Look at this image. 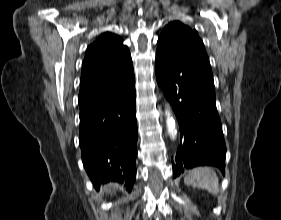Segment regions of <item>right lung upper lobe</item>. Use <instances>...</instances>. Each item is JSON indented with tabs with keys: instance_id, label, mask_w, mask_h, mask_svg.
<instances>
[{
	"instance_id": "1",
	"label": "right lung upper lobe",
	"mask_w": 281,
	"mask_h": 220,
	"mask_svg": "<svg viewBox=\"0 0 281 220\" xmlns=\"http://www.w3.org/2000/svg\"><path fill=\"white\" fill-rule=\"evenodd\" d=\"M133 79L131 55L122 38L103 33L86 50L78 100L120 89Z\"/></svg>"
}]
</instances>
